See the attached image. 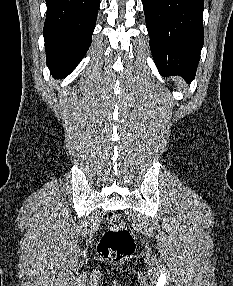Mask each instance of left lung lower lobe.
Wrapping results in <instances>:
<instances>
[{
  "label": "left lung lower lobe",
  "instance_id": "left-lung-lower-lobe-1",
  "mask_svg": "<svg viewBox=\"0 0 233 286\" xmlns=\"http://www.w3.org/2000/svg\"><path fill=\"white\" fill-rule=\"evenodd\" d=\"M150 49L160 74L195 78L204 43V0H142Z\"/></svg>",
  "mask_w": 233,
  "mask_h": 286
}]
</instances>
